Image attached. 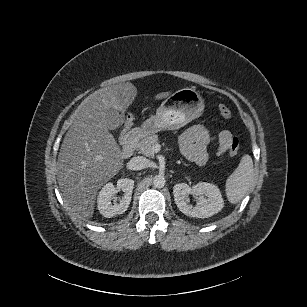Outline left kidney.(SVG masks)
I'll list each match as a JSON object with an SVG mask.
<instances>
[{"label":"left kidney","mask_w":307,"mask_h":307,"mask_svg":"<svg viewBox=\"0 0 307 307\" xmlns=\"http://www.w3.org/2000/svg\"><path fill=\"white\" fill-rule=\"evenodd\" d=\"M173 194L179 210L190 217L208 218L218 213L224 206L220 190L211 183L199 182L193 187L179 183L174 186ZM189 194L199 196L195 207L188 204Z\"/></svg>","instance_id":"1"}]
</instances>
